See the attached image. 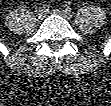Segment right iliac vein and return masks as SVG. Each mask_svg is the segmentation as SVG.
Listing matches in <instances>:
<instances>
[{
    "mask_svg": "<svg viewBox=\"0 0 111 106\" xmlns=\"http://www.w3.org/2000/svg\"><path fill=\"white\" fill-rule=\"evenodd\" d=\"M46 12L44 10H39L37 12V18L38 19H43L45 17Z\"/></svg>",
    "mask_w": 111,
    "mask_h": 106,
    "instance_id": "63e3f726",
    "label": "right iliac vein"
}]
</instances>
